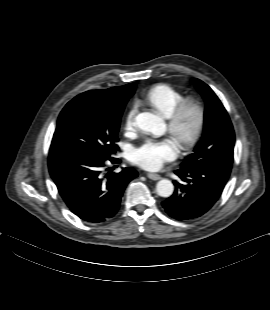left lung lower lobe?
Listing matches in <instances>:
<instances>
[{
    "mask_svg": "<svg viewBox=\"0 0 270 310\" xmlns=\"http://www.w3.org/2000/svg\"><path fill=\"white\" fill-rule=\"evenodd\" d=\"M175 174L182 182L173 181L176 189L162 205L172 218L179 221L207 213L220 197L230 175L203 166L181 167Z\"/></svg>",
    "mask_w": 270,
    "mask_h": 310,
    "instance_id": "obj_1",
    "label": "left lung lower lobe"
}]
</instances>
